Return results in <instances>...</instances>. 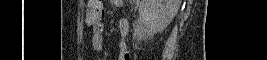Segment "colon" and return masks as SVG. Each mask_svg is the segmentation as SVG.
<instances>
[{
  "label": "colon",
  "instance_id": "colon-1",
  "mask_svg": "<svg viewBox=\"0 0 267 60\" xmlns=\"http://www.w3.org/2000/svg\"><path fill=\"white\" fill-rule=\"evenodd\" d=\"M104 10L101 0H91L86 9V19L90 25H97L103 16Z\"/></svg>",
  "mask_w": 267,
  "mask_h": 60
}]
</instances>
